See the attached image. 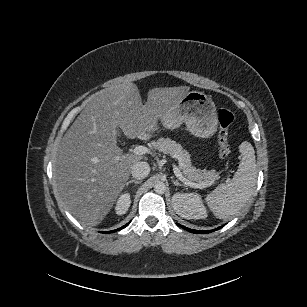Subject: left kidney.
Wrapping results in <instances>:
<instances>
[{
	"label": "left kidney",
	"mask_w": 307,
	"mask_h": 307,
	"mask_svg": "<svg viewBox=\"0 0 307 307\" xmlns=\"http://www.w3.org/2000/svg\"><path fill=\"white\" fill-rule=\"evenodd\" d=\"M172 206L176 214L185 219H205L207 211L201 197L195 193H175Z\"/></svg>",
	"instance_id": "5707ae66"
}]
</instances>
